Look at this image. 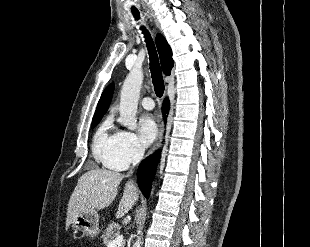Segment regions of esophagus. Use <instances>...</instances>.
I'll use <instances>...</instances> for the list:
<instances>
[{"label": "esophagus", "mask_w": 310, "mask_h": 247, "mask_svg": "<svg viewBox=\"0 0 310 247\" xmlns=\"http://www.w3.org/2000/svg\"><path fill=\"white\" fill-rule=\"evenodd\" d=\"M162 136H163V129L161 130V133H160V136H159V138H158V141H157L156 145L154 146L152 152L156 151V150L159 148V146H160V141H161V139H162Z\"/></svg>", "instance_id": "34e87169"}]
</instances>
